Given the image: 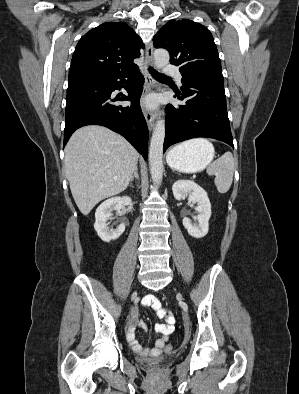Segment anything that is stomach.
I'll return each instance as SVG.
<instances>
[{
  "instance_id": "obj_1",
  "label": "stomach",
  "mask_w": 299,
  "mask_h": 394,
  "mask_svg": "<svg viewBox=\"0 0 299 394\" xmlns=\"http://www.w3.org/2000/svg\"><path fill=\"white\" fill-rule=\"evenodd\" d=\"M213 146L187 143L173 148L167 155L168 165L177 171L196 173L203 170L213 159Z\"/></svg>"
}]
</instances>
